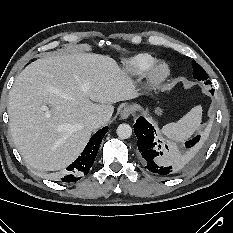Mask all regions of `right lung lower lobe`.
I'll return each mask as SVG.
<instances>
[{
	"label": "right lung lower lobe",
	"instance_id": "right-lung-lower-lobe-1",
	"mask_svg": "<svg viewBox=\"0 0 233 233\" xmlns=\"http://www.w3.org/2000/svg\"><path fill=\"white\" fill-rule=\"evenodd\" d=\"M107 131L108 127L106 126L91 137L81 155L66 168L67 173L62 178L63 182H75L89 172L98 153L100 143Z\"/></svg>",
	"mask_w": 233,
	"mask_h": 233
}]
</instances>
